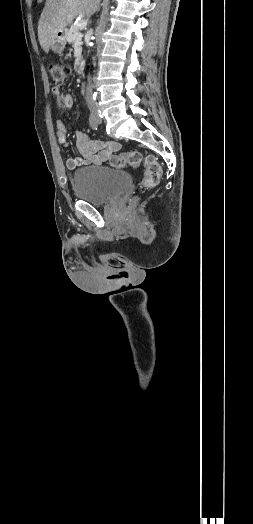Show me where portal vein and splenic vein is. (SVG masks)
Segmentation results:
<instances>
[{"label": "portal vein and splenic vein", "mask_w": 253, "mask_h": 524, "mask_svg": "<svg viewBox=\"0 0 253 524\" xmlns=\"http://www.w3.org/2000/svg\"><path fill=\"white\" fill-rule=\"evenodd\" d=\"M86 25H87V20L82 19V20H80L77 23L76 27L79 28V29H82V28L86 27Z\"/></svg>", "instance_id": "obj_1"}]
</instances>
